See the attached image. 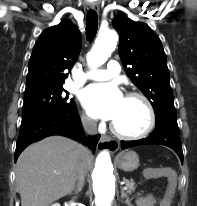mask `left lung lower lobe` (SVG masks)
<instances>
[{"instance_id": "obj_1", "label": "left lung lower lobe", "mask_w": 197, "mask_h": 206, "mask_svg": "<svg viewBox=\"0 0 197 206\" xmlns=\"http://www.w3.org/2000/svg\"><path fill=\"white\" fill-rule=\"evenodd\" d=\"M159 144L173 149L183 163L182 144L178 125L164 123L156 127L154 132L147 138L135 141H121V148L127 149L139 145Z\"/></svg>"}]
</instances>
